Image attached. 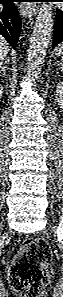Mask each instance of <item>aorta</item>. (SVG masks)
Returning a JSON list of instances; mask_svg holds the SVG:
<instances>
[{"label": "aorta", "mask_w": 63, "mask_h": 297, "mask_svg": "<svg viewBox=\"0 0 63 297\" xmlns=\"http://www.w3.org/2000/svg\"><path fill=\"white\" fill-rule=\"evenodd\" d=\"M54 28L53 9L50 4L43 3L39 10L30 38L28 49L27 74L37 78L42 69L46 49L52 38Z\"/></svg>", "instance_id": "1"}]
</instances>
